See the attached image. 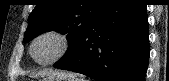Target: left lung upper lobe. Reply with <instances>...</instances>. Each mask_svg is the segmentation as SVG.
<instances>
[{
  "label": "left lung upper lobe",
  "instance_id": "5c2ea615",
  "mask_svg": "<svg viewBox=\"0 0 169 81\" xmlns=\"http://www.w3.org/2000/svg\"><path fill=\"white\" fill-rule=\"evenodd\" d=\"M111 0H38L30 13L24 42L36 36L57 31L67 34L69 48L54 66L66 62L76 49L88 26Z\"/></svg>",
  "mask_w": 169,
  "mask_h": 81
}]
</instances>
